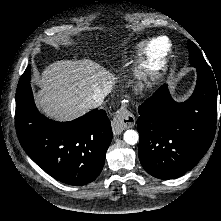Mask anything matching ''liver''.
<instances>
[{
  "mask_svg": "<svg viewBox=\"0 0 221 221\" xmlns=\"http://www.w3.org/2000/svg\"><path fill=\"white\" fill-rule=\"evenodd\" d=\"M115 77L100 64L89 60H62L43 72L36 103L49 117L71 120L84 114L85 99L96 89L111 91Z\"/></svg>",
  "mask_w": 221,
  "mask_h": 221,
  "instance_id": "1",
  "label": "liver"
}]
</instances>
